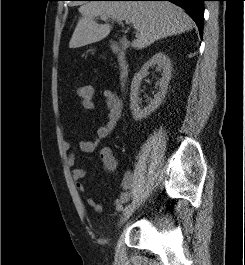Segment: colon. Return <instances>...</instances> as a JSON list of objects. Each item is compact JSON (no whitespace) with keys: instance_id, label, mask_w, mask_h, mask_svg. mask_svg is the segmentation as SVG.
Returning a JSON list of instances; mask_svg holds the SVG:
<instances>
[{"instance_id":"5ec220e1","label":"colon","mask_w":245,"mask_h":265,"mask_svg":"<svg viewBox=\"0 0 245 265\" xmlns=\"http://www.w3.org/2000/svg\"><path fill=\"white\" fill-rule=\"evenodd\" d=\"M77 95L82 103H88L94 99V88L91 85H82L77 89Z\"/></svg>"}]
</instances>
